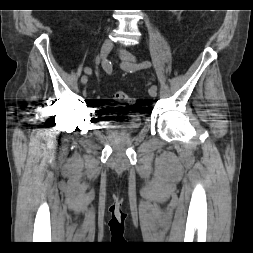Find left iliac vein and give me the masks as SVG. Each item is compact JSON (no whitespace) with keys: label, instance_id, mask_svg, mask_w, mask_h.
<instances>
[{"label":"left iliac vein","instance_id":"4c4485c4","mask_svg":"<svg viewBox=\"0 0 253 253\" xmlns=\"http://www.w3.org/2000/svg\"><path fill=\"white\" fill-rule=\"evenodd\" d=\"M118 53L121 56V58L123 59V63L121 65L122 68L124 70L130 71V66L134 65L136 63L134 56L132 54H130L129 52H127L126 50L121 49V48L118 50ZM148 92L151 97H156L157 88L152 86L149 88Z\"/></svg>","mask_w":253,"mask_h":253}]
</instances>
